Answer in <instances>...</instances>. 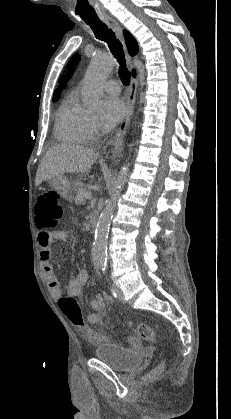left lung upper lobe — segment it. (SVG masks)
<instances>
[{
  "mask_svg": "<svg viewBox=\"0 0 231 419\" xmlns=\"http://www.w3.org/2000/svg\"><path fill=\"white\" fill-rule=\"evenodd\" d=\"M79 60H80V55L79 54H75L71 59H70V61H69V63H68V67L69 68H74L76 65H77V63L79 62Z\"/></svg>",
  "mask_w": 231,
  "mask_h": 419,
  "instance_id": "5c2ea615",
  "label": "left lung upper lobe"
}]
</instances>
